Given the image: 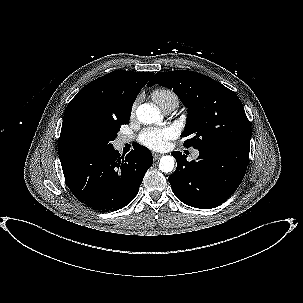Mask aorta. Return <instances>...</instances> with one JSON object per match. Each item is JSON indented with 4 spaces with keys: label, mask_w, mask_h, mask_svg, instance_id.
I'll use <instances>...</instances> for the list:
<instances>
[{
    "label": "aorta",
    "mask_w": 303,
    "mask_h": 303,
    "mask_svg": "<svg viewBox=\"0 0 303 303\" xmlns=\"http://www.w3.org/2000/svg\"><path fill=\"white\" fill-rule=\"evenodd\" d=\"M137 118L144 124L155 123L160 119V111L155 105L142 104L136 110ZM174 158L170 155L163 156L160 159L159 168L162 172H171L174 169Z\"/></svg>",
    "instance_id": "aorta-1"
}]
</instances>
